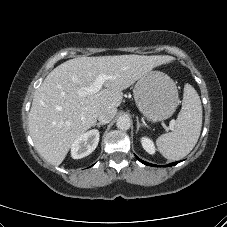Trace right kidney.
I'll list each match as a JSON object with an SVG mask.
<instances>
[{
  "label": "right kidney",
  "mask_w": 227,
  "mask_h": 227,
  "mask_svg": "<svg viewBox=\"0 0 227 227\" xmlns=\"http://www.w3.org/2000/svg\"><path fill=\"white\" fill-rule=\"evenodd\" d=\"M99 131L90 130L81 134L71 146V156L74 159H80L91 154L98 145Z\"/></svg>",
  "instance_id": "1"
}]
</instances>
